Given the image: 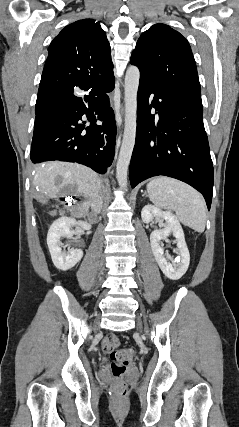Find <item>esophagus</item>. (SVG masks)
<instances>
[{
    "instance_id": "esophagus-1",
    "label": "esophagus",
    "mask_w": 239,
    "mask_h": 427,
    "mask_svg": "<svg viewBox=\"0 0 239 427\" xmlns=\"http://www.w3.org/2000/svg\"><path fill=\"white\" fill-rule=\"evenodd\" d=\"M121 113V116H123V114H124V109L123 108H121V111H120Z\"/></svg>"
}]
</instances>
